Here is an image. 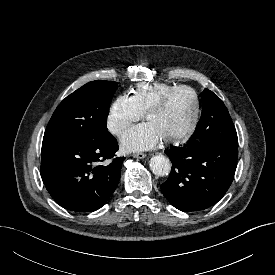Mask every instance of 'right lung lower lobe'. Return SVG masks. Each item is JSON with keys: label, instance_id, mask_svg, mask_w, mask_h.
<instances>
[{"label": "right lung lower lobe", "instance_id": "right-lung-lower-lobe-1", "mask_svg": "<svg viewBox=\"0 0 275 275\" xmlns=\"http://www.w3.org/2000/svg\"><path fill=\"white\" fill-rule=\"evenodd\" d=\"M110 133L92 141H46L41 150L43 183L60 206L75 212L101 208L115 191L125 157ZM111 159L108 165L101 164Z\"/></svg>", "mask_w": 275, "mask_h": 275}]
</instances>
